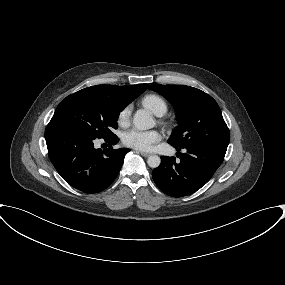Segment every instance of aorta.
<instances>
[{
	"instance_id": "aorta-1",
	"label": "aorta",
	"mask_w": 285,
	"mask_h": 285,
	"mask_svg": "<svg viewBox=\"0 0 285 285\" xmlns=\"http://www.w3.org/2000/svg\"><path fill=\"white\" fill-rule=\"evenodd\" d=\"M133 124L139 130H147L153 128L156 121L150 112L140 109L134 114ZM147 163L151 168H157L161 163V159L158 155H151L148 157Z\"/></svg>"
}]
</instances>
